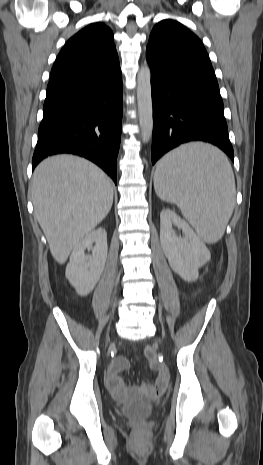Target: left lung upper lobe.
Instances as JSON below:
<instances>
[{"mask_svg":"<svg viewBox=\"0 0 263 465\" xmlns=\"http://www.w3.org/2000/svg\"><path fill=\"white\" fill-rule=\"evenodd\" d=\"M146 50L172 60L211 65L200 39L182 24L171 19L163 20L153 28Z\"/></svg>","mask_w":263,"mask_h":465,"instance_id":"obj_1","label":"left lung upper lobe"}]
</instances>
